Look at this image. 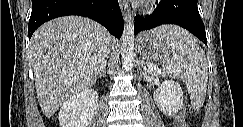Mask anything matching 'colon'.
Instances as JSON below:
<instances>
[{
  "mask_svg": "<svg viewBox=\"0 0 243 127\" xmlns=\"http://www.w3.org/2000/svg\"><path fill=\"white\" fill-rule=\"evenodd\" d=\"M177 126H178V127H187V124H186V122H184L183 120H179Z\"/></svg>",
  "mask_w": 243,
  "mask_h": 127,
  "instance_id": "colon-1",
  "label": "colon"
}]
</instances>
